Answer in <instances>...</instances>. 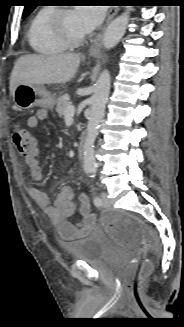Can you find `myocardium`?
I'll return each mask as SVG.
<instances>
[{
    "label": "myocardium",
    "instance_id": "f54148a6",
    "mask_svg": "<svg viewBox=\"0 0 184 327\" xmlns=\"http://www.w3.org/2000/svg\"><path fill=\"white\" fill-rule=\"evenodd\" d=\"M72 11L69 7H61L54 10L50 17V28L53 34L68 47H76L87 40V35L81 37H72L67 33L64 27V17Z\"/></svg>",
    "mask_w": 184,
    "mask_h": 327
}]
</instances>
